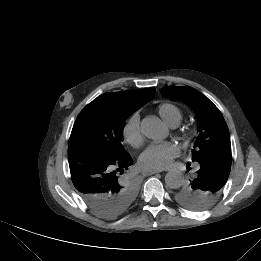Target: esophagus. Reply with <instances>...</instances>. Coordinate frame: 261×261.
<instances>
[{"instance_id":"1","label":"esophagus","mask_w":261,"mask_h":261,"mask_svg":"<svg viewBox=\"0 0 261 261\" xmlns=\"http://www.w3.org/2000/svg\"><path fill=\"white\" fill-rule=\"evenodd\" d=\"M161 172V170H145L143 171V175L144 176H149V175H152V174H156V173H159Z\"/></svg>"}]
</instances>
